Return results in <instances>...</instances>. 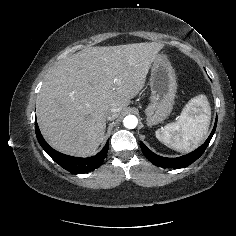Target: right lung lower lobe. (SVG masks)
<instances>
[{
  "mask_svg": "<svg viewBox=\"0 0 236 236\" xmlns=\"http://www.w3.org/2000/svg\"><path fill=\"white\" fill-rule=\"evenodd\" d=\"M35 131L39 144L46 151V153L62 168L73 173L82 174L90 172L98 168L104 161L109 149V142L106 143L105 147L97 155L89 158H78L62 154L53 148H51L44 140L40 133L37 122H35Z\"/></svg>",
  "mask_w": 236,
  "mask_h": 236,
  "instance_id": "right-lung-lower-lobe-1",
  "label": "right lung lower lobe"
}]
</instances>
